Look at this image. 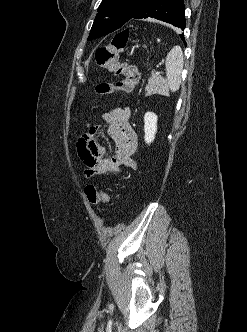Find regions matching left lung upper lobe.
I'll use <instances>...</instances> for the list:
<instances>
[{
	"label": "left lung upper lobe",
	"instance_id": "left-lung-upper-lobe-1",
	"mask_svg": "<svg viewBox=\"0 0 247 332\" xmlns=\"http://www.w3.org/2000/svg\"><path fill=\"white\" fill-rule=\"evenodd\" d=\"M146 0H102L88 40L121 29Z\"/></svg>",
	"mask_w": 247,
	"mask_h": 332
}]
</instances>
